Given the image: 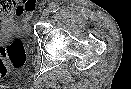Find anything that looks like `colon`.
Here are the masks:
<instances>
[{
	"label": "colon",
	"mask_w": 131,
	"mask_h": 89,
	"mask_svg": "<svg viewBox=\"0 0 131 89\" xmlns=\"http://www.w3.org/2000/svg\"><path fill=\"white\" fill-rule=\"evenodd\" d=\"M10 11L8 6L6 12ZM26 59V47L24 43L15 39L5 47L0 48V78L15 80L18 77L17 70Z\"/></svg>",
	"instance_id": "5ec220e1"
}]
</instances>
